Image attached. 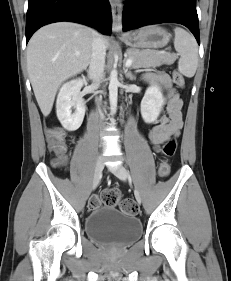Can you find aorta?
I'll return each mask as SVG.
<instances>
[{
  "label": "aorta",
  "instance_id": "762f6f07",
  "mask_svg": "<svg viewBox=\"0 0 231 281\" xmlns=\"http://www.w3.org/2000/svg\"><path fill=\"white\" fill-rule=\"evenodd\" d=\"M109 101L111 106V111L115 112L117 107V99H118V72L115 68L111 70L109 77Z\"/></svg>",
  "mask_w": 231,
  "mask_h": 281
}]
</instances>
